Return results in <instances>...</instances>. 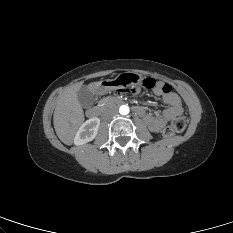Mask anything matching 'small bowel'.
Wrapping results in <instances>:
<instances>
[{
    "label": "small bowel",
    "mask_w": 233,
    "mask_h": 233,
    "mask_svg": "<svg viewBox=\"0 0 233 233\" xmlns=\"http://www.w3.org/2000/svg\"><path fill=\"white\" fill-rule=\"evenodd\" d=\"M163 82H158V85L153 89V93L157 96H161L163 102L167 105V108L162 111L159 115L148 114L144 107L138 106L135 111L143 117L147 126L155 131H160L169 120L182 114L183 107L179 96L170 89L168 92H163L161 85ZM170 86V85H169ZM171 87V86H170Z\"/></svg>",
    "instance_id": "1"
}]
</instances>
